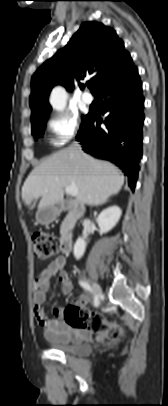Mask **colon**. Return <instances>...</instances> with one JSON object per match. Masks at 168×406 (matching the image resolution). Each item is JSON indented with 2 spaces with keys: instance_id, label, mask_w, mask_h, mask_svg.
<instances>
[{
  "instance_id": "1",
  "label": "colon",
  "mask_w": 168,
  "mask_h": 406,
  "mask_svg": "<svg viewBox=\"0 0 168 406\" xmlns=\"http://www.w3.org/2000/svg\"><path fill=\"white\" fill-rule=\"evenodd\" d=\"M34 257L44 261L54 257L60 247L59 240L45 231H36L31 236ZM64 319L70 324L82 326L88 331L101 333L112 341L122 338L123 328L114 322H107L99 312L79 311L76 307L69 305L65 308Z\"/></svg>"
}]
</instances>
